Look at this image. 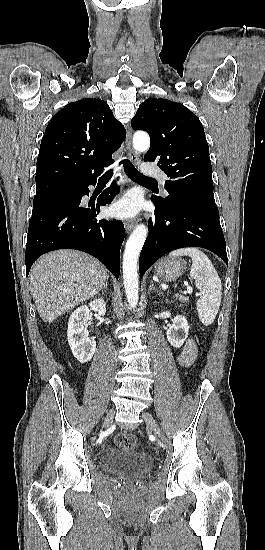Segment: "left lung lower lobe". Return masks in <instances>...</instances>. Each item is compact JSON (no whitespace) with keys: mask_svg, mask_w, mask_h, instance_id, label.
<instances>
[{"mask_svg":"<svg viewBox=\"0 0 265 550\" xmlns=\"http://www.w3.org/2000/svg\"><path fill=\"white\" fill-rule=\"evenodd\" d=\"M151 200L155 212L149 218V235L140 253V277L161 256L183 247L208 249L228 265L218 212L191 202L163 206Z\"/></svg>","mask_w":265,"mask_h":550,"instance_id":"left-lung-lower-lobe-1","label":"left lung lower lobe"}]
</instances>
